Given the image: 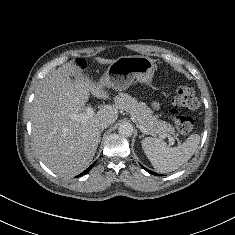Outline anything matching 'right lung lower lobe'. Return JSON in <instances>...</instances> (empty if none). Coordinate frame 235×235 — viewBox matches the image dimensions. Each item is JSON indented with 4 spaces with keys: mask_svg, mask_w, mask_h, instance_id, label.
Instances as JSON below:
<instances>
[{
    "mask_svg": "<svg viewBox=\"0 0 235 235\" xmlns=\"http://www.w3.org/2000/svg\"><path fill=\"white\" fill-rule=\"evenodd\" d=\"M94 164L95 163H93L89 168H87L85 171H83L80 175H78V177L79 176H82V175H84V174H86L87 172H89L91 169H92V167L94 166Z\"/></svg>",
    "mask_w": 235,
    "mask_h": 235,
    "instance_id": "98d812e1",
    "label": "right lung lower lobe"
}]
</instances>
